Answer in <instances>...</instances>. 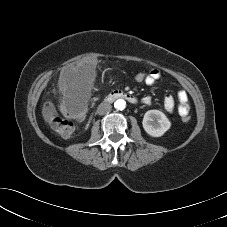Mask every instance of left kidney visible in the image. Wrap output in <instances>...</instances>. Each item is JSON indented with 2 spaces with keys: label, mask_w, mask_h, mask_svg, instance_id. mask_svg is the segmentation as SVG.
Masks as SVG:
<instances>
[{
  "label": "left kidney",
  "mask_w": 227,
  "mask_h": 227,
  "mask_svg": "<svg viewBox=\"0 0 227 227\" xmlns=\"http://www.w3.org/2000/svg\"><path fill=\"white\" fill-rule=\"evenodd\" d=\"M143 128L152 137H161L171 126L166 115L159 110H149L143 118Z\"/></svg>",
  "instance_id": "5707ae66"
}]
</instances>
